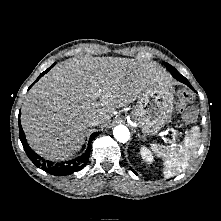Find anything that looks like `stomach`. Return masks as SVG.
Wrapping results in <instances>:
<instances>
[{"label": "stomach", "instance_id": "1", "mask_svg": "<svg viewBox=\"0 0 221 221\" xmlns=\"http://www.w3.org/2000/svg\"><path fill=\"white\" fill-rule=\"evenodd\" d=\"M174 109L173 88L155 85L138 98L132 116L144 135H156L170 119Z\"/></svg>", "mask_w": 221, "mask_h": 221}]
</instances>
